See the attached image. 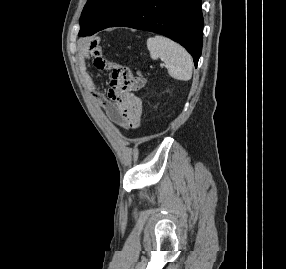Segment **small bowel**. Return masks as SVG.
<instances>
[{
	"instance_id": "1",
	"label": "small bowel",
	"mask_w": 286,
	"mask_h": 269,
	"mask_svg": "<svg viewBox=\"0 0 286 269\" xmlns=\"http://www.w3.org/2000/svg\"><path fill=\"white\" fill-rule=\"evenodd\" d=\"M87 55H90L92 62L97 69L111 70L113 64L112 62L104 59L101 47L97 41L90 43L82 54L83 61L81 67L84 82L90 90L96 106L99 109H102L106 113L109 120L122 130L137 128L140 123L142 110H123V95H119L116 88H113L111 80L108 89V97H105L101 92L100 83L97 82L89 73V65L84 61V58ZM116 65L117 64H115V66ZM135 78L143 77L137 76Z\"/></svg>"
}]
</instances>
